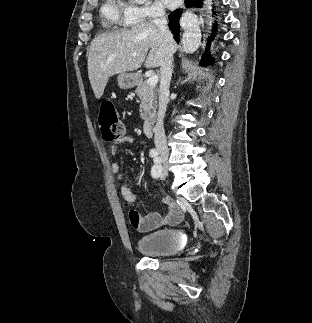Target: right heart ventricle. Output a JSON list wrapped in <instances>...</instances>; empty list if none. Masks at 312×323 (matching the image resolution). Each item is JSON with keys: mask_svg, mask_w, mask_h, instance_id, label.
Returning a JSON list of instances; mask_svg holds the SVG:
<instances>
[{"mask_svg": "<svg viewBox=\"0 0 312 323\" xmlns=\"http://www.w3.org/2000/svg\"><path fill=\"white\" fill-rule=\"evenodd\" d=\"M116 0H105L99 5L97 10L98 20H123L124 16H128V9H121L119 5L114 7ZM114 10L116 13H114Z\"/></svg>", "mask_w": 312, "mask_h": 323, "instance_id": "e07e8e85", "label": "right heart ventricle"}]
</instances>
